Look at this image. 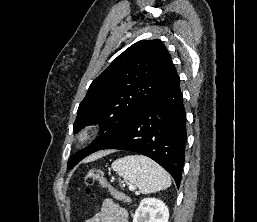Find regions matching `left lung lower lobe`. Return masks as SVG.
Listing matches in <instances>:
<instances>
[{
    "label": "left lung lower lobe",
    "mask_w": 257,
    "mask_h": 222,
    "mask_svg": "<svg viewBox=\"0 0 257 222\" xmlns=\"http://www.w3.org/2000/svg\"><path fill=\"white\" fill-rule=\"evenodd\" d=\"M187 142L186 115L180 79H174L144 107L103 149L143 154L181 182Z\"/></svg>",
    "instance_id": "obj_1"
}]
</instances>
